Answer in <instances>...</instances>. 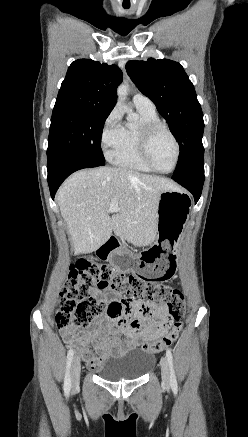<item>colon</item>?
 Returning a JSON list of instances; mask_svg holds the SVG:
<instances>
[{
  "label": "colon",
  "mask_w": 248,
  "mask_h": 437,
  "mask_svg": "<svg viewBox=\"0 0 248 437\" xmlns=\"http://www.w3.org/2000/svg\"><path fill=\"white\" fill-rule=\"evenodd\" d=\"M102 258H83L70 267L60 293L56 325L60 329L93 325L111 305L95 298L94 292L107 288L114 293L128 294L129 299L164 304L169 330L142 348L149 353H158L172 345L182 329L185 314L183 294L169 285L145 286L144 279H135L133 274L126 272H114L112 266L101 261Z\"/></svg>",
  "instance_id": "5ec220e1"
}]
</instances>
